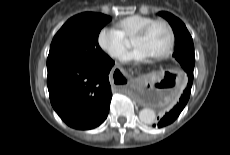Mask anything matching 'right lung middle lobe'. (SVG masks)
<instances>
[{
  "label": "right lung middle lobe",
  "mask_w": 230,
  "mask_h": 155,
  "mask_svg": "<svg viewBox=\"0 0 230 155\" xmlns=\"http://www.w3.org/2000/svg\"><path fill=\"white\" fill-rule=\"evenodd\" d=\"M111 18L101 13H81L70 18L54 36L47 67L58 64H93L109 58L98 44V35Z\"/></svg>",
  "instance_id": "right-lung-middle-lobe-1"
}]
</instances>
